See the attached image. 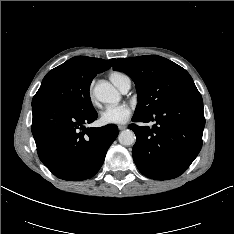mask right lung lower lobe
<instances>
[{
	"label": "right lung lower lobe",
	"instance_id": "98d812e1",
	"mask_svg": "<svg viewBox=\"0 0 234 234\" xmlns=\"http://www.w3.org/2000/svg\"><path fill=\"white\" fill-rule=\"evenodd\" d=\"M32 134L42 163L58 178L80 181L93 177L101 168L107 150L118 136L109 124L86 128L97 119L93 108L76 111L55 104L32 107Z\"/></svg>",
	"mask_w": 234,
	"mask_h": 234
}]
</instances>
